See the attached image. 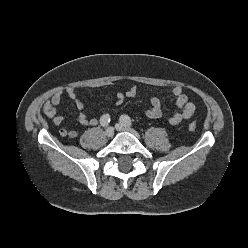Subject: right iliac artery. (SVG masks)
Masks as SVG:
<instances>
[{
  "label": "right iliac artery",
  "instance_id": "1",
  "mask_svg": "<svg viewBox=\"0 0 248 248\" xmlns=\"http://www.w3.org/2000/svg\"><path fill=\"white\" fill-rule=\"evenodd\" d=\"M109 122H110V115L109 114L102 115V117L100 118L101 126L106 127L108 126Z\"/></svg>",
  "mask_w": 248,
  "mask_h": 248
}]
</instances>
